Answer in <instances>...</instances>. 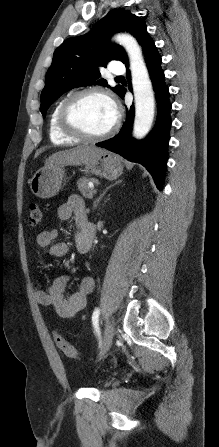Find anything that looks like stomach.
<instances>
[{"label": "stomach", "instance_id": "1", "mask_svg": "<svg viewBox=\"0 0 219 447\" xmlns=\"http://www.w3.org/2000/svg\"><path fill=\"white\" fill-rule=\"evenodd\" d=\"M84 171L108 180H115L123 173L120 158L108 151L98 155L93 161L85 165ZM64 165H50L39 169L30 179L31 192L46 199L55 196L64 186Z\"/></svg>", "mask_w": 219, "mask_h": 447}]
</instances>
